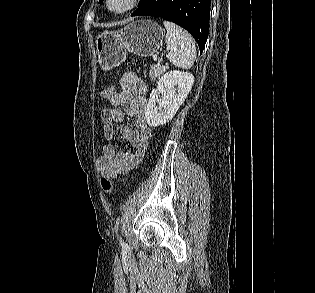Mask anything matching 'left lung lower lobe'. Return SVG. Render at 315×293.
<instances>
[{
    "label": "left lung lower lobe",
    "mask_w": 315,
    "mask_h": 293,
    "mask_svg": "<svg viewBox=\"0 0 315 293\" xmlns=\"http://www.w3.org/2000/svg\"><path fill=\"white\" fill-rule=\"evenodd\" d=\"M210 0H145L131 16H155L186 29L202 53L208 37Z\"/></svg>",
    "instance_id": "1"
}]
</instances>
